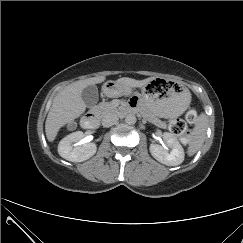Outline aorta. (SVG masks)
I'll return each mask as SVG.
<instances>
[{"mask_svg":"<svg viewBox=\"0 0 243 243\" xmlns=\"http://www.w3.org/2000/svg\"><path fill=\"white\" fill-rule=\"evenodd\" d=\"M137 121L136 119V116L134 114H128L126 117H125V122L129 125H133L135 124Z\"/></svg>","mask_w":243,"mask_h":243,"instance_id":"762f6f07","label":"aorta"}]
</instances>
